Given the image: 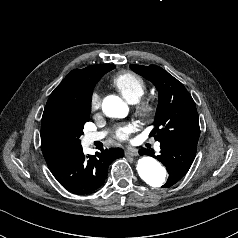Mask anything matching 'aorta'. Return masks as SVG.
<instances>
[{
  "instance_id": "1",
  "label": "aorta",
  "mask_w": 238,
  "mask_h": 238,
  "mask_svg": "<svg viewBox=\"0 0 238 238\" xmlns=\"http://www.w3.org/2000/svg\"><path fill=\"white\" fill-rule=\"evenodd\" d=\"M104 113L109 117H125L128 113L127 105L117 96H107L102 105ZM141 179L153 188L161 187L167 177L165 168L154 158L143 156L136 166Z\"/></svg>"
}]
</instances>
